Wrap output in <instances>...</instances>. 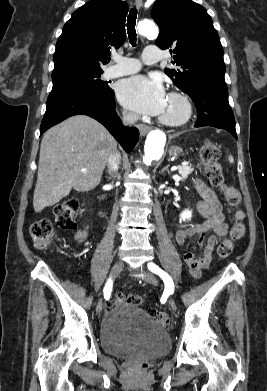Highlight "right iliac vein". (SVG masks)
<instances>
[{"label":"right iliac vein","instance_id":"right-iliac-vein-1","mask_svg":"<svg viewBox=\"0 0 267 391\" xmlns=\"http://www.w3.org/2000/svg\"><path fill=\"white\" fill-rule=\"evenodd\" d=\"M122 269H123V262L120 260L115 262V264L113 265L112 270H111V274H110L111 278L115 279L120 274ZM102 308H103V302H102V300H99L97 307H96V312L99 314L102 311Z\"/></svg>","mask_w":267,"mask_h":391}]
</instances>
